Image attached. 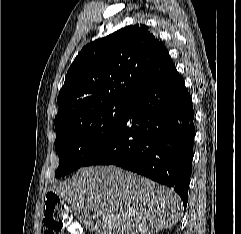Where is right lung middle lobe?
<instances>
[{
  "mask_svg": "<svg viewBox=\"0 0 241 234\" xmlns=\"http://www.w3.org/2000/svg\"><path fill=\"white\" fill-rule=\"evenodd\" d=\"M128 104L112 103L89 108L74 122L56 130L55 150L59 156L56 177L82 167L108 140L122 122Z\"/></svg>",
  "mask_w": 241,
  "mask_h": 234,
  "instance_id": "right-lung-middle-lobe-1",
  "label": "right lung middle lobe"
}]
</instances>
